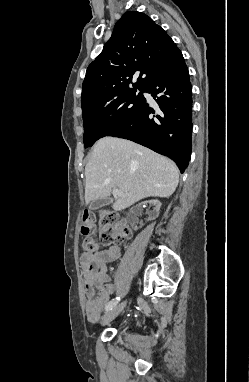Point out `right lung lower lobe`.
<instances>
[{
  "mask_svg": "<svg viewBox=\"0 0 249 382\" xmlns=\"http://www.w3.org/2000/svg\"><path fill=\"white\" fill-rule=\"evenodd\" d=\"M143 92L156 104L144 98L134 117L108 136L125 138L165 155L183 173L192 145V87L184 58L157 72Z\"/></svg>",
  "mask_w": 249,
  "mask_h": 382,
  "instance_id": "1",
  "label": "right lung lower lobe"
}]
</instances>
